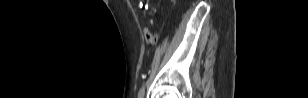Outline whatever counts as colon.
Segmentation results:
<instances>
[{"instance_id":"5ec220e1","label":"colon","mask_w":308,"mask_h":98,"mask_svg":"<svg viewBox=\"0 0 308 98\" xmlns=\"http://www.w3.org/2000/svg\"><path fill=\"white\" fill-rule=\"evenodd\" d=\"M145 37L149 42H154L156 40V36L153 33H148Z\"/></svg>"}]
</instances>
